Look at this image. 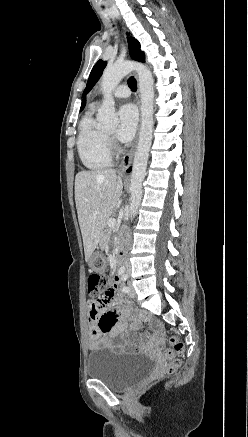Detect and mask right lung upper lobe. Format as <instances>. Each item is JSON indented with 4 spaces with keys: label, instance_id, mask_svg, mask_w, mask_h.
<instances>
[{
    "label": "right lung upper lobe",
    "instance_id": "right-lung-upper-lobe-1",
    "mask_svg": "<svg viewBox=\"0 0 248 437\" xmlns=\"http://www.w3.org/2000/svg\"><path fill=\"white\" fill-rule=\"evenodd\" d=\"M84 105H85V99L82 102L81 110L84 108Z\"/></svg>",
    "mask_w": 248,
    "mask_h": 437
}]
</instances>
